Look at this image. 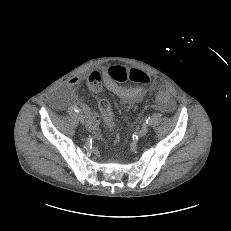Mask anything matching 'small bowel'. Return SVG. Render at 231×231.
<instances>
[{
	"instance_id": "obj_1",
	"label": "small bowel",
	"mask_w": 231,
	"mask_h": 231,
	"mask_svg": "<svg viewBox=\"0 0 231 231\" xmlns=\"http://www.w3.org/2000/svg\"><path fill=\"white\" fill-rule=\"evenodd\" d=\"M96 80H99L101 84L103 81L105 87L109 91L117 95L120 98L121 102L125 105L133 104L135 102L140 101L147 93V89L143 85L126 88L119 84H113L110 81L107 70H103L102 73L94 71L90 73V75L88 76L87 84L90 90H92L93 92H96L92 87L93 82H95ZM80 82L81 81L78 77H71L70 79L67 80L65 86L69 89L70 94L75 99V101L84 110L88 120V129L93 131L96 135H99V124H100L99 116L91 109L90 105L85 100L79 98L76 95V89L80 85ZM171 108H172L171 105L167 107L168 110H170Z\"/></svg>"
}]
</instances>
